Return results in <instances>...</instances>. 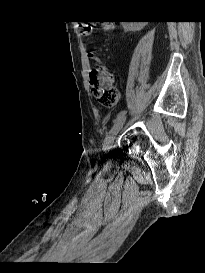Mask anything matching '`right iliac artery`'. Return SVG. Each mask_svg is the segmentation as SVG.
Listing matches in <instances>:
<instances>
[{
	"label": "right iliac artery",
	"mask_w": 205,
	"mask_h": 273,
	"mask_svg": "<svg viewBox=\"0 0 205 273\" xmlns=\"http://www.w3.org/2000/svg\"><path fill=\"white\" fill-rule=\"evenodd\" d=\"M126 113V111L125 110H123V111H121V112H119L118 114H117V116H116V118L114 119V121L113 122H116L121 116H123L124 114Z\"/></svg>",
	"instance_id": "right-iliac-artery-1"
}]
</instances>
